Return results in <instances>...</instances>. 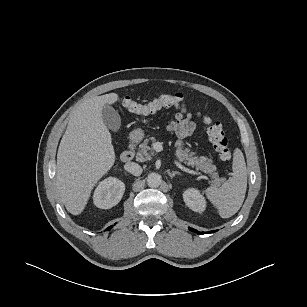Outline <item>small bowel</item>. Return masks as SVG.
Returning <instances> with one entry per match:
<instances>
[{
    "instance_id": "obj_1",
    "label": "small bowel",
    "mask_w": 307,
    "mask_h": 307,
    "mask_svg": "<svg viewBox=\"0 0 307 307\" xmlns=\"http://www.w3.org/2000/svg\"><path fill=\"white\" fill-rule=\"evenodd\" d=\"M196 129V123L192 120V114L182 104L172 121L167 125V130L173 132L178 140L176 148L180 151L184 147L183 139L190 136Z\"/></svg>"
}]
</instances>
